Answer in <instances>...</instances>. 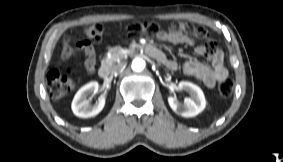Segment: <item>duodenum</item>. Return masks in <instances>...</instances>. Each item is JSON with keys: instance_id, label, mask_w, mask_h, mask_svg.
I'll return each mask as SVG.
<instances>
[{"instance_id": "410a0bca", "label": "duodenum", "mask_w": 283, "mask_h": 162, "mask_svg": "<svg viewBox=\"0 0 283 162\" xmlns=\"http://www.w3.org/2000/svg\"><path fill=\"white\" fill-rule=\"evenodd\" d=\"M145 50L148 55L151 57L157 59V60H163L164 59V54L155 46L153 45H147L145 47ZM109 75V69L107 67H102L99 70V76L101 78H107Z\"/></svg>"}]
</instances>
